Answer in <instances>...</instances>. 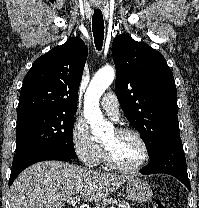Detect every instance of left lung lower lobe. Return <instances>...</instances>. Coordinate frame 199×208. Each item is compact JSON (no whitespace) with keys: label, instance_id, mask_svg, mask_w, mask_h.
Listing matches in <instances>:
<instances>
[{"label":"left lung lower lobe","instance_id":"1","mask_svg":"<svg viewBox=\"0 0 199 208\" xmlns=\"http://www.w3.org/2000/svg\"><path fill=\"white\" fill-rule=\"evenodd\" d=\"M150 157L151 161L141 170L142 174H170L191 190L183 145L179 134L164 140Z\"/></svg>","mask_w":199,"mask_h":208}]
</instances>
